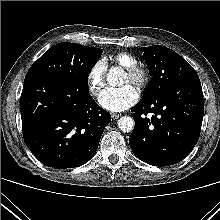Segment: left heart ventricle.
Segmentation results:
<instances>
[{"instance_id":"1","label":"left heart ventricle","mask_w":220,"mask_h":220,"mask_svg":"<svg viewBox=\"0 0 220 220\" xmlns=\"http://www.w3.org/2000/svg\"><path fill=\"white\" fill-rule=\"evenodd\" d=\"M130 82V77L128 74L125 75L124 83H129Z\"/></svg>"}]
</instances>
